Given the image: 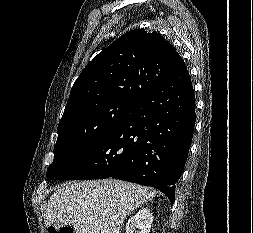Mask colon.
<instances>
[{"mask_svg": "<svg viewBox=\"0 0 253 233\" xmlns=\"http://www.w3.org/2000/svg\"><path fill=\"white\" fill-rule=\"evenodd\" d=\"M49 233H75L69 226L51 227Z\"/></svg>", "mask_w": 253, "mask_h": 233, "instance_id": "5ec220e1", "label": "colon"}]
</instances>
